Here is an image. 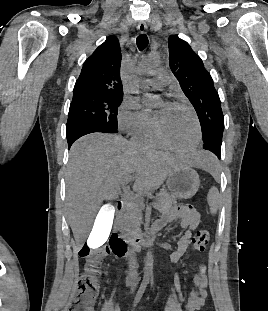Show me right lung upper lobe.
<instances>
[{"label":"right lung upper lobe","mask_w":268,"mask_h":311,"mask_svg":"<svg viewBox=\"0 0 268 311\" xmlns=\"http://www.w3.org/2000/svg\"><path fill=\"white\" fill-rule=\"evenodd\" d=\"M120 66L119 41L109 36L84 62L73 92L123 96Z\"/></svg>","instance_id":"cb5924a9"}]
</instances>
